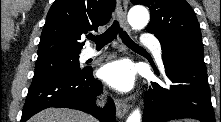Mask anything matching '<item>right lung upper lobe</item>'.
I'll list each match as a JSON object with an SVG mask.
<instances>
[{
    "label": "right lung upper lobe",
    "instance_id": "cb5924a9",
    "mask_svg": "<svg viewBox=\"0 0 221 122\" xmlns=\"http://www.w3.org/2000/svg\"><path fill=\"white\" fill-rule=\"evenodd\" d=\"M115 0H56L42 30L38 59L79 55L81 35L109 22Z\"/></svg>",
    "mask_w": 221,
    "mask_h": 122
}]
</instances>
